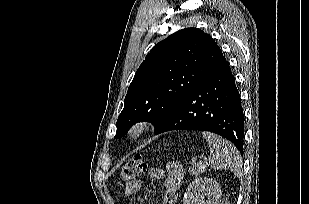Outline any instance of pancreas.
Segmentation results:
<instances>
[{"instance_id": "cf45deb5", "label": "pancreas", "mask_w": 309, "mask_h": 204, "mask_svg": "<svg viewBox=\"0 0 309 204\" xmlns=\"http://www.w3.org/2000/svg\"><path fill=\"white\" fill-rule=\"evenodd\" d=\"M205 172V168H202L200 166V164H193L190 168H189V173L190 175L193 176H198L199 174Z\"/></svg>"}]
</instances>
